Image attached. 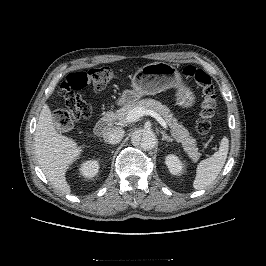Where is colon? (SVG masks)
<instances>
[{
	"label": "colon",
	"instance_id": "1",
	"mask_svg": "<svg viewBox=\"0 0 266 266\" xmlns=\"http://www.w3.org/2000/svg\"><path fill=\"white\" fill-rule=\"evenodd\" d=\"M184 75L193 80L201 90L202 103L197 132L202 140L207 138L211 128V119L215 113L216 95L210 77L206 72L195 66L184 68ZM114 77L110 67L100 66L88 71L70 74L60 85L59 95L63 105L56 111L55 121L59 129L76 127L81 120L92 116L90 95L86 88L89 83L97 89L108 87Z\"/></svg>",
	"mask_w": 266,
	"mask_h": 266
}]
</instances>
